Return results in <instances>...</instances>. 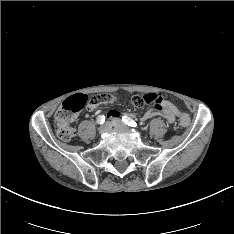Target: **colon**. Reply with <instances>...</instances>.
Wrapping results in <instances>:
<instances>
[{"mask_svg": "<svg viewBox=\"0 0 234 234\" xmlns=\"http://www.w3.org/2000/svg\"><path fill=\"white\" fill-rule=\"evenodd\" d=\"M162 101L163 95L159 93L135 95L132 98V103L136 107H143L145 105L159 107ZM87 104L92 111L98 110V108L103 105L99 96L88 99L87 96L83 94L71 96L61 104L55 114L57 136L59 139L64 142H69L75 136V130L72 128L71 122ZM189 120V116L183 114L180 118L181 126H187Z\"/></svg>", "mask_w": 234, "mask_h": 234, "instance_id": "1", "label": "colon"}]
</instances>
